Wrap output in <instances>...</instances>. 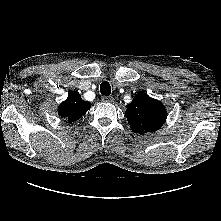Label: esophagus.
Instances as JSON below:
<instances>
[{"mask_svg":"<svg viewBox=\"0 0 221 221\" xmlns=\"http://www.w3.org/2000/svg\"><path fill=\"white\" fill-rule=\"evenodd\" d=\"M102 101L112 103L114 102V98L112 96H103Z\"/></svg>","mask_w":221,"mask_h":221,"instance_id":"obj_1","label":"esophagus"}]
</instances>
